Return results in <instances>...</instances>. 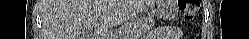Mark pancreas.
Listing matches in <instances>:
<instances>
[{"instance_id":"1","label":"pancreas","mask_w":249,"mask_h":39,"mask_svg":"<svg viewBox=\"0 0 249 39\" xmlns=\"http://www.w3.org/2000/svg\"><path fill=\"white\" fill-rule=\"evenodd\" d=\"M155 20L152 17H135L124 24L118 35L120 39H129L130 37L141 36L153 28Z\"/></svg>"}]
</instances>
